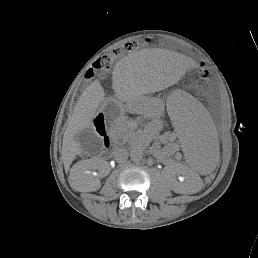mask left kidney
<instances>
[{
    "mask_svg": "<svg viewBox=\"0 0 258 258\" xmlns=\"http://www.w3.org/2000/svg\"><path fill=\"white\" fill-rule=\"evenodd\" d=\"M189 169L183 171L182 175L185 177L184 182H178L173 186V191L179 194H192L194 192L193 182L194 177L191 175Z\"/></svg>",
    "mask_w": 258,
    "mask_h": 258,
    "instance_id": "1",
    "label": "left kidney"
}]
</instances>
